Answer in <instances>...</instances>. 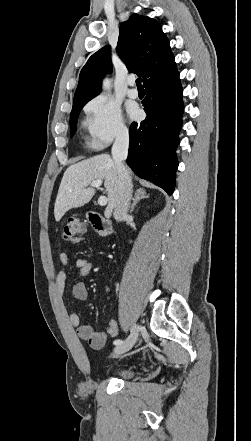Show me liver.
<instances>
[{"label": "liver", "instance_id": "liver-1", "mask_svg": "<svg viewBox=\"0 0 251 441\" xmlns=\"http://www.w3.org/2000/svg\"><path fill=\"white\" fill-rule=\"evenodd\" d=\"M127 172L131 179L132 172L129 169ZM95 180H104L108 196L104 215L111 216L119 192L118 170L110 155L100 154L70 165L64 172L54 207L57 222L68 210L82 207L91 200L95 190L86 187Z\"/></svg>", "mask_w": 251, "mask_h": 441}]
</instances>
